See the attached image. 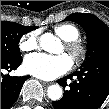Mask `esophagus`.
Wrapping results in <instances>:
<instances>
[{
	"mask_svg": "<svg viewBox=\"0 0 109 109\" xmlns=\"http://www.w3.org/2000/svg\"><path fill=\"white\" fill-rule=\"evenodd\" d=\"M42 84H43L44 86H49L51 83H50V82H42Z\"/></svg>",
	"mask_w": 109,
	"mask_h": 109,
	"instance_id": "34e87169",
	"label": "esophagus"
}]
</instances>
